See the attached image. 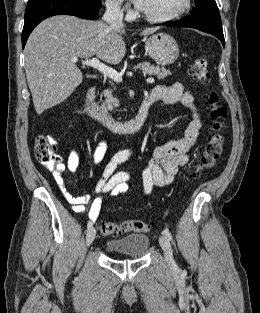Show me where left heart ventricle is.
Returning <instances> with one entry per match:
<instances>
[{"mask_svg": "<svg viewBox=\"0 0 260 313\" xmlns=\"http://www.w3.org/2000/svg\"><path fill=\"white\" fill-rule=\"evenodd\" d=\"M184 0H144L141 9L152 16H166L177 11Z\"/></svg>", "mask_w": 260, "mask_h": 313, "instance_id": "1", "label": "left heart ventricle"}]
</instances>
